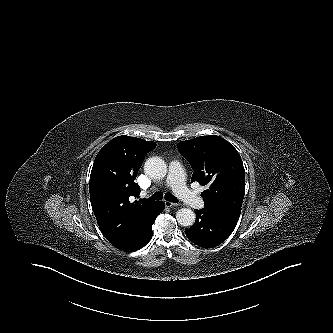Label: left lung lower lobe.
Wrapping results in <instances>:
<instances>
[{
    "mask_svg": "<svg viewBox=\"0 0 333 333\" xmlns=\"http://www.w3.org/2000/svg\"><path fill=\"white\" fill-rule=\"evenodd\" d=\"M196 222L185 230L187 238L194 244L212 248L224 242L233 232L237 222L204 208L195 210Z\"/></svg>",
    "mask_w": 333,
    "mask_h": 333,
    "instance_id": "obj_1",
    "label": "left lung lower lobe"
}]
</instances>
